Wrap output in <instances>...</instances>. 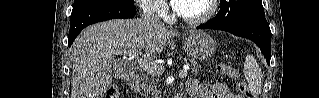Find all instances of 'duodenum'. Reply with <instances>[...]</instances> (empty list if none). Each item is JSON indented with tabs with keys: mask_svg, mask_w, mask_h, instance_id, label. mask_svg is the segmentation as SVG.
Masks as SVG:
<instances>
[{
	"mask_svg": "<svg viewBox=\"0 0 319 98\" xmlns=\"http://www.w3.org/2000/svg\"><path fill=\"white\" fill-rule=\"evenodd\" d=\"M140 81H141L140 76L138 74H135L130 80L131 90L137 91L139 84H140ZM175 98H184V97H183V95L178 94L175 96Z\"/></svg>",
	"mask_w": 319,
	"mask_h": 98,
	"instance_id": "410a0bca",
	"label": "duodenum"
}]
</instances>
